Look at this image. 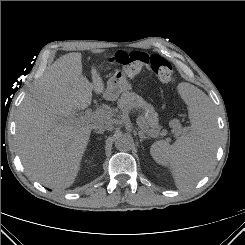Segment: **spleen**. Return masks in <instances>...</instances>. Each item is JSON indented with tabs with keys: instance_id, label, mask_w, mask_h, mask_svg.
Segmentation results:
<instances>
[{
	"instance_id": "obj_1",
	"label": "spleen",
	"mask_w": 245,
	"mask_h": 245,
	"mask_svg": "<svg viewBox=\"0 0 245 245\" xmlns=\"http://www.w3.org/2000/svg\"><path fill=\"white\" fill-rule=\"evenodd\" d=\"M180 91L188 106L190 132L170 145L156 141L150 148L154 160L169 166L176 187L184 190L194 186L213 164L217 148V125L209 97L189 83L180 84Z\"/></svg>"
}]
</instances>
